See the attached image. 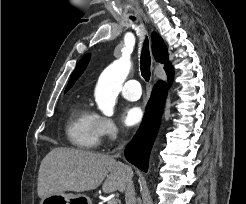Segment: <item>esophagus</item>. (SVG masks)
<instances>
[{
    "instance_id": "34e87169",
    "label": "esophagus",
    "mask_w": 246,
    "mask_h": 204,
    "mask_svg": "<svg viewBox=\"0 0 246 204\" xmlns=\"http://www.w3.org/2000/svg\"><path fill=\"white\" fill-rule=\"evenodd\" d=\"M145 21H148L147 18H145ZM157 81V76L154 74L153 75V82L155 83Z\"/></svg>"
}]
</instances>
